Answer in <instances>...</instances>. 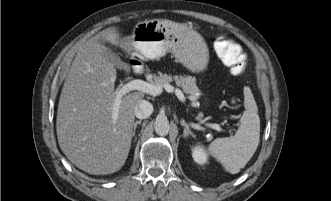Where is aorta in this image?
Segmentation results:
<instances>
[{
    "mask_svg": "<svg viewBox=\"0 0 331 201\" xmlns=\"http://www.w3.org/2000/svg\"><path fill=\"white\" fill-rule=\"evenodd\" d=\"M155 132L158 135H167L170 131L169 121L166 117H158L154 123Z\"/></svg>",
    "mask_w": 331,
    "mask_h": 201,
    "instance_id": "762f6f07",
    "label": "aorta"
}]
</instances>
